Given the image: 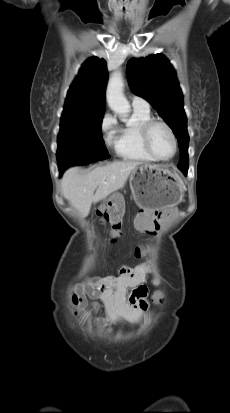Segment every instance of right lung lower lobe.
Segmentation results:
<instances>
[{
    "mask_svg": "<svg viewBox=\"0 0 230 413\" xmlns=\"http://www.w3.org/2000/svg\"><path fill=\"white\" fill-rule=\"evenodd\" d=\"M59 171H60V175L63 173V169H61V168H59Z\"/></svg>",
    "mask_w": 230,
    "mask_h": 413,
    "instance_id": "obj_1",
    "label": "right lung lower lobe"
}]
</instances>
